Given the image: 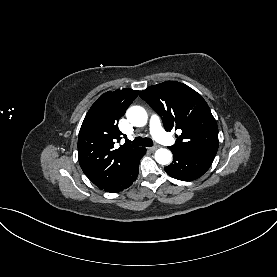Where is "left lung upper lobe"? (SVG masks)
<instances>
[{"mask_svg": "<svg viewBox=\"0 0 277 277\" xmlns=\"http://www.w3.org/2000/svg\"><path fill=\"white\" fill-rule=\"evenodd\" d=\"M163 120L166 131L181 129L171 150H218V127L208 104L192 88L177 81L153 85L140 93Z\"/></svg>", "mask_w": 277, "mask_h": 277, "instance_id": "obj_1", "label": "left lung upper lobe"}]
</instances>
